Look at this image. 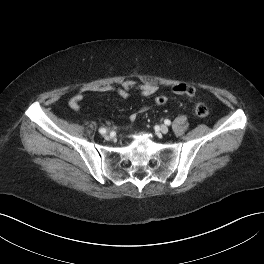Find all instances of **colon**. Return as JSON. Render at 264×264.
I'll return each instance as SVG.
<instances>
[{"label":"colon","mask_w":264,"mask_h":264,"mask_svg":"<svg viewBox=\"0 0 264 264\" xmlns=\"http://www.w3.org/2000/svg\"><path fill=\"white\" fill-rule=\"evenodd\" d=\"M195 88L193 86H187L186 89H185V93L187 94V96L189 97H193L195 95ZM167 97L164 96V95H159L155 98V103L159 106H162L164 104L167 103ZM194 111L195 113L200 116V117H206L209 115L210 113V110L208 108L207 105H205L204 103L202 102H196L194 104Z\"/></svg>","instance_id":"colon-1"}]
</instances>
